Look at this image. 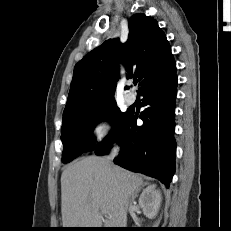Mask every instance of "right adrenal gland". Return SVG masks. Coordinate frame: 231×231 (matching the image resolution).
I'll return each instance as SVG.
<instances>
[{"label": "right adrenal gland", "mask_w": 231, "mask_h": 231, "mask_svg": "<svg viewBox=\"0 0 231 231\" xmlns=\"http://www.w3.org/2000/svg\"><path fill=\"white\" fill-rule=\"evenodd\" d=\"M147 185V183H145L144 185H142V186H146ZM137 194H138V192L137 193H135L133 196H132V200H134L136 197H137Z\"/></svg>", "instance_id": "2a0ac1e0"}]
</instances>
